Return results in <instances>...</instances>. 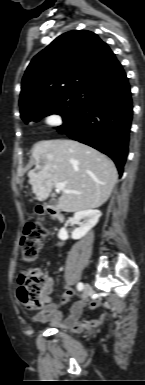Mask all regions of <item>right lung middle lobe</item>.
<instances>
[{"instance_id": "obj_1", "label": "right lung middle lobe", "mask_w": 145, "mask_h": 385, "mask_svg": "<svg viewBox=\"0 0 145 385\" xmlns=\"http://www.w3.org/2000/svg\"><path fill=\"white\" fill-rule=\"evenodd\" d=\"M91 93L92 91L85 89L71 90L44 105L27 111L21 118L25 122L39 121L44 116L59 114L63 118L62 126H64L85 106Z\"/></svg>"}]
</instances>
